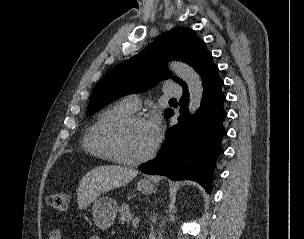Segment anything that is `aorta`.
Masks as SVG:
<instances>
[{
	"label": "aorta",
	"mask_w": 304,
	"mask_h": 239,
	"mask_svg": "<svg viewBox=\"0 0 304 239\" xmlns=\"http://www.w3.org/2000/svg\"><path fill=\"white\" fill-rule=\"evenodd\" d=\"M169 69L180 77L188 86L189 92V111L194 114L201 105L203 97V85L200 76L189 65L181 62L169 63ZM162 232L159 233L158 239H163Z\"/></svg>",
	"instance_id": "aorta-1"
}]
</instances>
